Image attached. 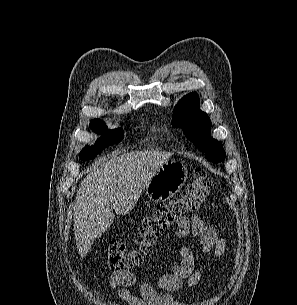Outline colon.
Segmentation results:
<instances>
[{"label": "colon", "instance_id": "5ec220e1", "mask_svg": "<svg viewBox=\"0 0 297 305\" xmlns=\"http://www.w3.org/2000/svg\"><path fill=\"white\" fill-rule=\"evenodd\" d=\"M210 192V183L202 171H197L187 190L177 199L159 205L139 226L134 246L120 239L111 240L108 261L114 271H124L139 265L148 255L156 239L181 218L197 213Z\"/></svg>", "mask_w": 297, "mask_h": 305}]
</instances>
